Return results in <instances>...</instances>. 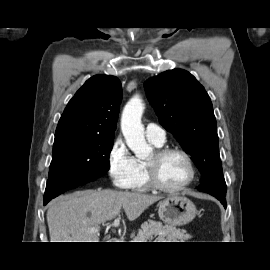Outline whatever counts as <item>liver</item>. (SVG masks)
<instances>
[{
  "label": "liver",
  "mask_w": 270,
  "mask_h": 270,
  "mask_svg": "<svg viewBox=\"0 0 270 270\" xmlns=\"http://www.w3.org/2000/svg\"><path fill=\"white\" fill-rule=\"evenodd\" d=\"M161 197L139 192L87 190L54 200L47 211L50 242H99L92 231L124 209L130 221L137 219Z\"/></svg>",
  "instance_id": "6515ba94"
}]
</instances>
